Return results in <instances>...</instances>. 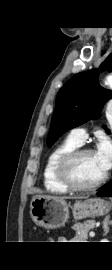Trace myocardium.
<instances>
[{
    "label": "myocardium",
    "mask_w": 112,
    "mask_h": 270,
    "mask_svg": "<svg viewBox=\"0 0 112 270\" xmlns=\"http://www.w3.org/2000/svg\"><path fill=\"white\" fill-rule=\"evenodd\" d=\"M88 153H94L90 148L78 147L67 153H65L58 161L57 164V176L59 181L69 190L75 192H87L99 188L103 185L107 179V174L105 173L97 182L84 185L76 181L73 175V165L74 163L83 155Z\"/></svg>",
    "instance_id": "1"
}]
</instances>
